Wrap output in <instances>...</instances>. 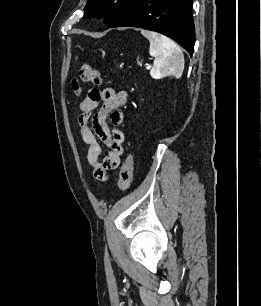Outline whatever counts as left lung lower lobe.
<instances>
[{"label":"left lung lower lobe","mask_w":261,"mask_h":306,"mask_svg":"<svg viewBox=\"0 0 261 306\" xmlns=\"http://www.w3.org/2000/svg\"><path fill=\"white\" fill-rule=\"evenodd\" d=\"M193 0H133L125 14L111 27H137L162 33L192 56L195 26Z\"/></svg>","instance_id":"0a47b994"}]
</instances>
